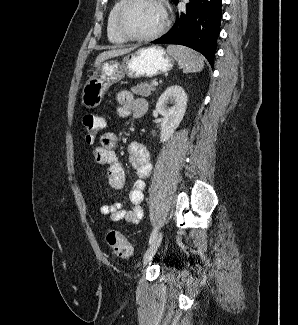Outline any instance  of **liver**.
I'll return each mask as SVG.
<instances>
[{"label": "liver", "instance_id": "6515ba94", "mask_svg": "<svg viewBox=\"0 0 298 325\" xmlns=\"http://www.w3.org/2000/svg\"><path fill=\"white\" fill-rule=\"evenodd\" d=\"M134 48H111V50H104V52H100L98 56H96L94 60L93 66H99L101 62L104 60H108V58H114V56H122V54H127V52H131Z\"/></svg>", "mask_w": 298, "mask_h": 325}]
</instances>
